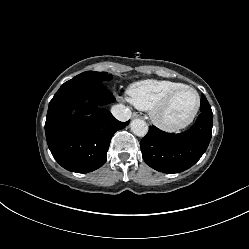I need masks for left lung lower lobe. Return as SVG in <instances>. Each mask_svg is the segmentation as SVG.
Returning a JSON list of instances; mask_svg holds the SVG:
<instances>
[{
    "mask_svg": "<svg viewBox=\"0 0 249 249\" xmlns=\"http://www.w3.org/2000/svg\"><path fill=\"white\" fill-rule=\"evenodd\" d=\"M201 95V104H207ZM213 114L201 111L194 126L180 134L166 133L154 125L140 142L144 161L163 173H178L193 166L206 151L212 137Z\"/></svg>",
    "mask_w": 249,
    "mask_h": 249,
    "instance_id": "0a47b994",
    "label": "left lung lower lobe"
}]
</instances>
